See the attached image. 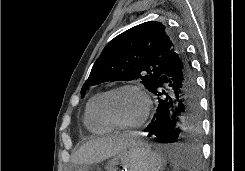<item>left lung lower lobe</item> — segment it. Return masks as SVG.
I'll list each match as a JSON object with an SVG mask.
<instances>
[{
	"mask_svg": "<svg viewBox=\"0 0 245 171\" xmlns=\"http://www.w3.org/2000/svg\"><path fill=\"white\" fill-rule=\"evenodd\" d=\"M151 92L157 96L158 106L145 131L160 143H180L186 132L198 126L200 114L196 77L182 45L166 58L163 73ZM174 154L181 156L182 167H197L195 146L180 148Z\"/></svg>",
	"mask_w": 245,
	"mask_h": 171,
	"instance_id": "0a47b994",
	"label": "left lung lower lobe"
}]
</instances>
